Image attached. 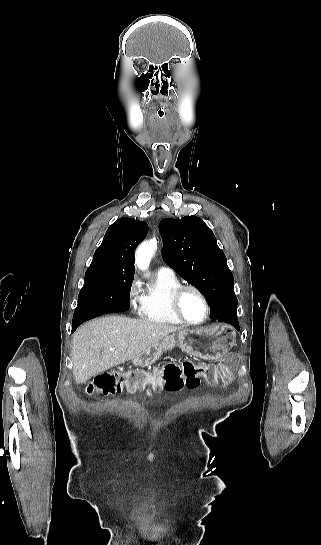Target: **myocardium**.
Segmentation results:
<instances>
[{"label": "myocardium", "instance_id": "f54148a6", "mask_svg": "<svg viewBox=\"0 0 321 545\" xmlns=\"http://www.w3.org/2000/svg\"><path fill=\"white\" fill-rule=\"evenodd\" d=\"M187 290H192V291L196 292L199 295V297L201 298V300L203 302V305L205 307V315H204L203 319L200 320L199 322H196V323H192V322L187 321L182 316V314L180 312V308H179L180 298H181L182 294ZM169 310H170L172 316L174 317V319L180 325H183V326H186V327H199V326L204 325L208 321V319L210 317L211 308H210V304H209L207 296L205 295V293L199 287H197L195 285H192V284H183V285H179L178 287L173 289L172 292L170 293V295H169Z\"/></svg>", "mask_w": 321, "mask_h": 545}]
</instances>
